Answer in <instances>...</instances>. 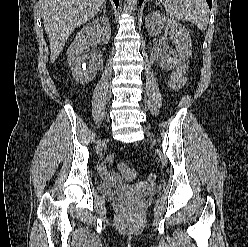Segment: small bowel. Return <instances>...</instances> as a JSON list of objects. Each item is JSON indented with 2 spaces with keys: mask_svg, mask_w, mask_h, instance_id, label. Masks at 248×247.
<instances>
[{
  "mask_svg": "<svg viewBox=\"0 0 248 247\" xmlns=\"http://www.w3.org/2000/svg\"><path fill=\"white\" fill-rule=\"evenodd\" d=\"M98 172L101 175V177L103 179H105L106 181L120 180V175L108 171L107 168H106V166L103 165V164L99 165Z\"/></svg>",
  "mask_w": 248,
  "mask_h": 247,
  "instance_id": "obj_1",
  "label": "small bowel"
}]
</instances>
